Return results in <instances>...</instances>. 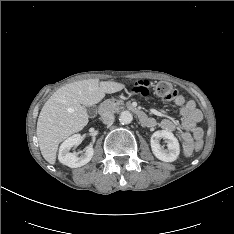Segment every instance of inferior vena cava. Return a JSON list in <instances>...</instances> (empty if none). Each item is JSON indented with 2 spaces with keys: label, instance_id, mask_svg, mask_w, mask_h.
Returning <instances> with one entry per match:
<instances>
[{
  "label": "inferior vena cava",
  "instance_id": "inferior-vena-cava-1",
  "mask_svg": "<svg viewBox=\"0 0 234 234\" xmlns=\"http://www.w3.org/2000/svg\"><path fill=\"white\" fill-rule=\"evenodd\" d=\"M101 120L104 124H112L115 120L112 112H105L101 115Z\"/></svg>",
  "mask_w": 234,
  "mask_h": 234
}]
</instances>
